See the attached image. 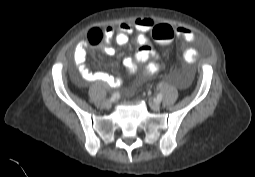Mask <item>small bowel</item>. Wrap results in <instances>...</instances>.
I'll return each instance as SVG.
<instances>
[{"mask_svg": "<svg viewBox=\"0 0 255 177\" xmlns=\"http://www.w3.org/2000/svg\"><path fill=\"white\" fill-rule=\"evenodd\" d=\"M155 24L156 22L152 18L139 17L130 22H121L118 25L117 32L112 26L105 27L102 31L105 40V44L102 46L103 52L108 56L114 55L115 50L110 45V42L114 40L117 45L124 46L128 43L129 37L135 33L138 48L132 57H126L123 60L124 67L129 73H134L137 70L138 64H144L142 71L143 78H149L157 74L161 70V64L158 54L151 46L147 36ZM175 34L179 39L187 42H192L195 39L193 31L184 26L176 27ZM88 43L87 39L81 41L76 45L73 52V60L78 75L87 82H100L111 87L122 85L124 81L122 77L91 70L87 64ZM196 57L197 53L194 49H187L182 54L183 62L186 65H191Z\"/></svg>", "mask_w": 255, "mask_h": 177, "instance_id": "1", "label": "small bowel"}]
</instances>
